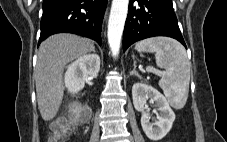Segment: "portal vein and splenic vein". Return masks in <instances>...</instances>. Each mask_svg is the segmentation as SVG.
Masks as SVG:
<instances>
[{"label": "portal vein and splenic vein", "instance_id": "1", "mask_svg": "<svg viewBox=\"0 0 227 142\" xmlns=\"http://www.w3.org/2000/svg\"><path fill=\"white\" fill-rule=\"evenodd\" d=\"M147 71H148V72H154V73L157 74V75H161V74H162L161 71L156 70V69H153V68H151V67H148V68H147Z\"/></svg>", "mask_w": 227, "mask_h": 142}]
</instances>
